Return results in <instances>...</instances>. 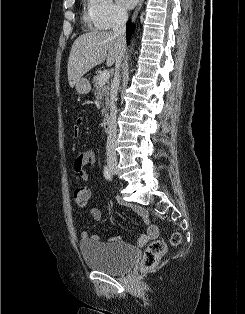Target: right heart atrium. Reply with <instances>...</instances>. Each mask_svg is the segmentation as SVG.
I'll return each mask as SVG.
<instances>
[{
    "label": "right heart atrium",
    "instance_id": "obj_1",
    "mask_svg": "<svg viewBox=\"0 0 245 314\" xmlns=\"http://www.w3.org/2000/svg\"><path fill=\"white\" fill-rule=\"evenodd\" d=\"M88 1L89 17L95 29L109 30L125 21L126 11L113 0Z\"/></svg>",
    "mask_w": 245,
    "mask_h": 314
}]
</instances>
